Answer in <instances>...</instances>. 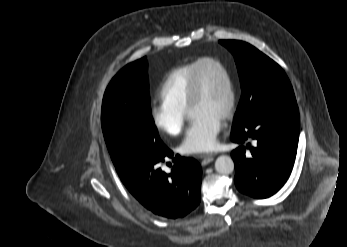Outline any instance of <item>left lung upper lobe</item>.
<instances>
[{
	"label": "left lung upper lobe",
	"mask_w": 347,
	"mask_h": 247,
	"mask_svg": "<svg viewBox=\"0 0 347 247\" xmlns=\"http://www.w3.org/2000/svg\"><path fill=\"white\" fill-rule=\"evenodd\" d=\"M234 56L242 95L233 128L273 104L296 102L292 86L282 68L252 45L236 40H220Z\"/></svg>",
	"instance_id": "obj_1"
}]
</instances>
